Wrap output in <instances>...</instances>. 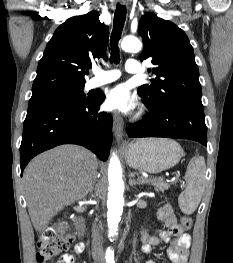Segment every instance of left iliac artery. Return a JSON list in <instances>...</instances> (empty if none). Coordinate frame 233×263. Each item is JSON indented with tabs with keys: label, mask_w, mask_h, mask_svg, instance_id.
I'll list each match as a JSON object with an SVG mask.
<instances>
[{
	"label": "left iliac artery",
	"mask_w": 233,
	"mask_h": 263,
	"mask_svg": "<svg viewBox=\"0 0 233 263\" xmlns=\"http://www.w3.org/2000/svg\"><path fill=\"white\" fill-rule=\"evenodd\" d=\"M109 263H115V261L112 260V261H110Z\"/></svg>",
	"instance_id": "1"
}]
</instances>
